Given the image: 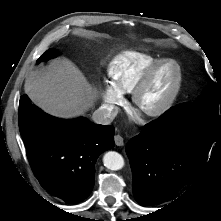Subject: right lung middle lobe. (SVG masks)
I'll use <instances>...</instances> for the list:
<instances>
[{
	"label": "right lung middle lobe",
	"instance_id": "obj_1",
	"mask_svg": "<svg viewBox=\"0 0 221 221\" xmlns=\"http://www.w3.org/2000/svg\"><path fill=\"white\" fill-rule=\"evenodd\" d=\"M56 56H57L56 51L53 49H49L37 60V63H39L41 61H46V60L56 57Z\"/></svg>",
	"mask_w": 221,
	"mask_h": 221
}]
</instances>
